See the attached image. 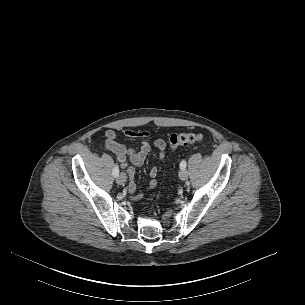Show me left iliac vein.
<instances>
[{
    "label": "left iliac vein",
    "mask_w": 305,
    "mask_h": 305,
    "mask_svg": "<svg viewBox=\"0 0 305 305\" xmlns=\"http://www.w3.org/2000/svg\"><path fill=\"white\" fill-rule=\"evenodd\" d=\"M179 177H180L181 180H187L188 171L185 168L181 169L180 172H179Z\"/></svg>",
    "instance_id": "obj_1"
}]
</instances>
